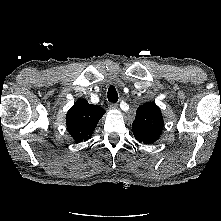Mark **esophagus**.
Here are the masks:
<instances>
[{
  "label": "esophagus",
  "instance_id": "34e87169",
  "mask_svg": "<svg viewBox=\"0 0 221 221\" xmlns=\"http://www.w3.org/2000/svg\"><path fill=\"white\" fill-rule=\"evenodd\" d=\"M109 108H110V109H117V108H118V105L115 104V103H112V104L109 105Z\"/></svg>",
  "mask_w": 221,
  "mask_h": 221
}]
</instances>
